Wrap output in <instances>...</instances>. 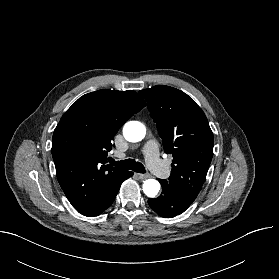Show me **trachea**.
Segmentation results:
<instances>
[{
    "label": "trachea",
    "instance_id": "3493384b",
    "mask_svg": "<svg viewBox=\"0 0 279 279\" xmlns=\"http://www.w3.org/2000/svg\"><path fill=\"white\" fill-rule=\"evenodd\" d=\"M109 162L118 168L133 170L137 173H145V167L142 163L135 161L134 159H126L121 161H115L114 159L110 158Z\"/></svg>",
    "mask_w": 279,
    "mask_h": 279
}]
</instances>
